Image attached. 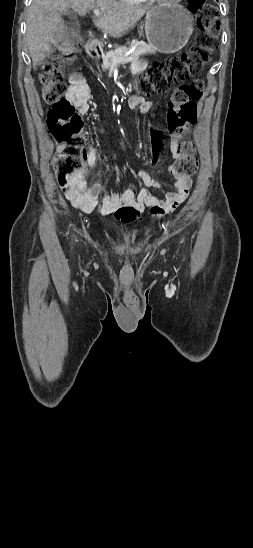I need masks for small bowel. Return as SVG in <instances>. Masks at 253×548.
Wrapping results in <instances>:
<instances>
[{"instance_id":"1","label":"small bowel","mask_w":253,"mask_h":548,"mask_svg":"<svg viewBox=\"0 0 253 548\" xmlns=\"http://www.w3.org/2000/svg\"><path fill=\"white\" fill-rule=\"evenodd\" d=\"M146 64L143 61L138 62L134 69L136 72L144 70ZM69 88L66 93V99L73 104L81 115H85L88 110V102L91 94L85 77L78 72L69 76ZM128 106L131 109L140 108L143 111H149L154 107L152 101L145 100L142 96L133 95L128 100ZM181 137H171L169 149L176 158L180 145ZM98 155L93 146L89 147L85 158V166L70 179L68 185L61 188L64 191L66 199L73 207L85 213H90L97 209L103 216H107L117 211L116 218L122 223H129L136 220L139 213L146 208L150 213L157 217H162L174 211L188 196L191 188V179L188 176L173 174L176 179L175 191L167 192L162 199L153 195L152 189H160L159 183L153 179L148 172L141 169L137 176L144 184V188L138 193L132 189H125L122 192H112L105 195L100 202L98 198L103 191L100 183H94L87 186L86 176L89 168L97 164Z\"/></svg>"}]
</instances>
